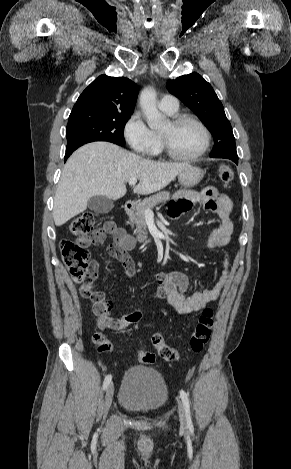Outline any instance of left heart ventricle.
<instances>
[{
	"label": "left heart ventricle",
	"instance_id": "1",
	"mask_svg": "<svg viewBox=\"0 0 291 469\" xmlns=\"http://www.w3.org/2000/svg\"><path fill=\"white\" fill-rule=\"evenodd\" d=\"M172 149L181 156H190L197 153L203 145V133L191 121H185L177 126L170 122L161 130Z\"/></svg>",
	"mask_w": 291,
	"mask_h": 469
}]
</instances>
